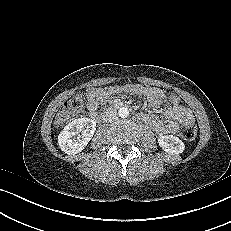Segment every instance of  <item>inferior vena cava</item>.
Masks as SVG:
<instances>
[{"instance_id": "1", "label": "inferior vena cava", "mask_w": 231, "mask_h": 231, "mask_svg": "<svg viewBox=\"0 0 231 231\" xmlns=\"http://www.w3.org/2000/svg\"><path fill=\"white\" fill-rule=\"evenodd\" d=\"M102 119L104 122H109V123L116 121L118 119L117 111L114 109L106 110L102 115Z\"/></svg>"}]
</instances>
